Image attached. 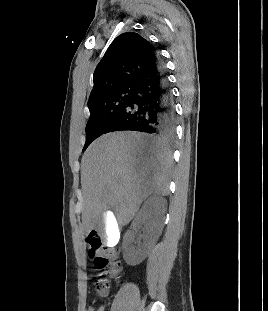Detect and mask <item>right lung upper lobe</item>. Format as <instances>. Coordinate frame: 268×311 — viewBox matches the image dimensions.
<instances>
[{"instance_id": "right-lung-upper-lobe-1", "label": "right lung upper lobe", "mask_w": 268, "mask_h": 311, "mask_svg": "<svg viewBox=\"0 0 268 311\" xmlns=\"http://www.w3.org/2000/svg\"><path fill=\"white\" fill-rule=\"evenodd\" d=\"M156 57L150 42L139 34L119 35L94 71V87L88 105L118 89L133 86L154 65Z\"/></svg>"}]
</instances>
